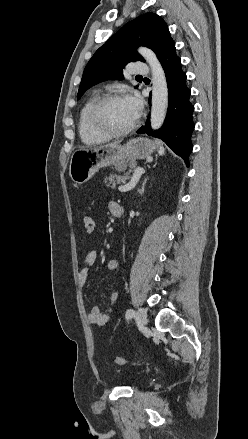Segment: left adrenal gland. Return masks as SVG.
Listing matches in <instances>:
<instances>
[{"instance_id":"obj_1","label":"left adrenal gland","mask_w":248,"mask_h":439,"mask_svg":"<svg viewBox=\"0 0 248 439\" xmlns=\"http://www.w3.org/2000/svg\"><path fill=\"white\" fill-rule=\"evenodd\" d=\"M147 180H148V177H146V178L144 179V182H143L141 188L138 190V193H139L140 195H142V194L144 193V191H145V186H146Z\"/></svg>"}]
</instances>
